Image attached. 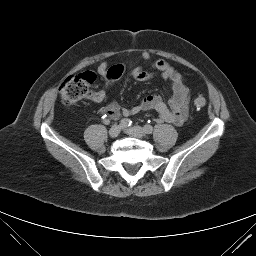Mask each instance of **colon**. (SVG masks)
I'll use <instances>...</instances> for the list:
<instances>
[{
  "instance_id": "obj_1",
  "label": "colon",
  "mask_w": 256,
  "mask_h": 256,
  "mask_svg": "<svg viewBox=\"0 0 256 256\" xmlns=\"http://www.w3.org/2000/svg\"><path fill=\"white\" fill-rule=\"evenodd\" d=\"M96 80V75L92 72H84L71 75L66 78L60 86V96L66 105H75L90 93V88ZM207 101L204 97H197L194 105L197 109L206 106Z\"/></svg>"
}]
</instances>
